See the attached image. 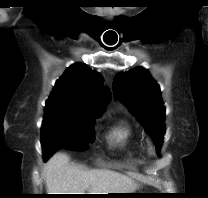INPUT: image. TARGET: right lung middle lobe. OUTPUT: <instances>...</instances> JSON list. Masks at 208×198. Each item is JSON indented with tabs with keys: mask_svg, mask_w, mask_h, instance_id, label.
<instances>
[{
	"mask_svg": "<svg viewBox=\"0 0 208 198\" xmlns=\"http://www.w3.org/2000/svg\"><path fill=\"white\" fill-rule=\"evenodd\" d=\"M96 118L70 112L45 113L41 128L44 160L62 148L87 150L94 141L93 124Z\"/></svg>",
	"mask_w": 208,
	"mask_h": 198,
	"instance_id": "right-lung-middle-lobe-1",
	"label": "right lung middle lobe"
}]
</instances>
